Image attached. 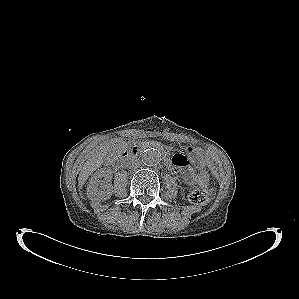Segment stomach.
<instances>
[{"label": "stomach", "mask_w": 299, "mask_h": 299, "mask_svg": "<svg viewBox=\"0 0 299 299\" xmlns=\"http://www.w3.org/2000/svg\"><path fill=\"white\" fill-rule=\"evenodd\" d=\"M183 153L187 156L188 165L192 169H198L203 165V154L194 145L187 144L183 148Z\"/></svg>", "instance_id": "1"}]
</instances>
